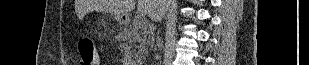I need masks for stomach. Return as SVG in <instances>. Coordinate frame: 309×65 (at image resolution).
I'll use <instances>...</instances> for the list:
<instances>
[{"label":"stomach","instance_id":"1","mask_svg":"<svg viewBox=\"0 0 309 65\" xmlns=\"http://www.w3.org/2000/svg\"><path fill=\"white\" fill-rule=\"evenodd\" d=\"M115 19L120 24H126L128 21V17L125 14H117L115 15Z\"/></svg>","mask_w":309,"mask_h":65}]
</instances>
